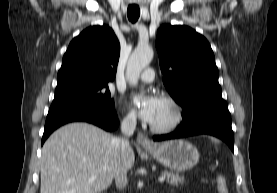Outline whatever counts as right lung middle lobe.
Segmentation results:
<instances>
[{
    "mask_svg": "<svg viewBox=\"0 0 277 193\" xmlns=\"http://www.w3.org/2000/svg\"><path fill=\"white\" fill-rule=\"evenodd\" d=\"M54 100H75L114 110V100L110 97L108 85H98L55 92Z\"/></svg>",
    "mask_w": 277,
    "mask_h": 193,
    "instance_id": "obj_1",
    "label": "right lung middle lobe"
}]
</instances>
